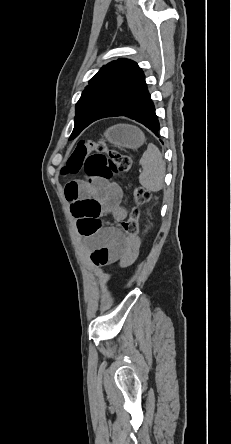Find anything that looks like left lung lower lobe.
<instances>
[{
  "label": "left lung lower lobe",
  "instance_id": "1",
  "mask_svg": "<svg viewBox=\"0 0 231 444\" xmlns=\"http://www.w3.org/2000/svg\"><path fill=\"white\" fill-rule=\"evenodd\" d=\"M113 116H126L134 119L158 136L159 122L146 83L140 86L136 93Z\"/></svg>",
  "mask_w": 231,
  "mask_h": 444
}]
</instances>
